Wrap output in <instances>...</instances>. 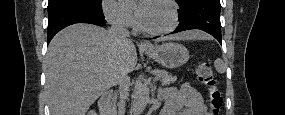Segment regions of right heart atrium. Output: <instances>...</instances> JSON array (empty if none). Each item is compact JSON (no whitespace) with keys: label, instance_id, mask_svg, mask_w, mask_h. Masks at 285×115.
I'll return each instance as SVG.
<instances>
[{"label":"right heart atrium","instance_id":"d8ad5b80","mask_svg":"<svg viewBox=\"0 0 285 115\" xmlns=\"http://www.w3.org/2000/svg\"><path fill=\"white\" fill-rule=\"evenodd\" d=\"M102 7L105 17L111 24L122 28H133L136 26L133 13L120 1L105 0Z\"/></svg>","mask_w":285,"mask_h":115}]
</instances>
